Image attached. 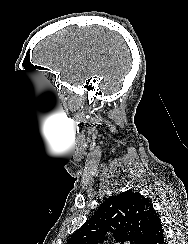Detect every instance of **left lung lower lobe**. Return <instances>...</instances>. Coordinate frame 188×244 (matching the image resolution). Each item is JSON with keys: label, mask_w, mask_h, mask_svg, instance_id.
<instances>
[{"label": "left lung lower lobe", "mask_w": 188, "mask_h": 244, "mask_svg": "<svg viewBox=\"0 0 188 244\" xmlns=\"http://www.w3.org/2000/svg\"><path fill=\"white\" fill-rule=\"evenodd\" d=\"M144 244H166L160 218L157 213L150 222Z\"/></svg>", "instance_id": "obj_1"}]
</instances>
